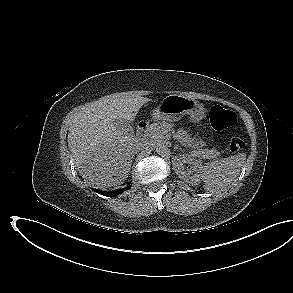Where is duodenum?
Here are the masks:
<instances>
[{
  "mask_svg": "<svg viewBox=\"0 0 293 293\" xmlns=\"http://www.w3.org/2000/svg\"><path fill=\"white\" fill-rule=\"evenodd\" d=\"M147 127H148V125L145 121H141L138 123L137 130H136V139L137 140L140 141L144 138Z\"/></svg>",
  "mask_w": 293,
  "mask_h": 293,
  "instance_id": "410a0bca",
  "label": "duodenum"
}]
</instances>
